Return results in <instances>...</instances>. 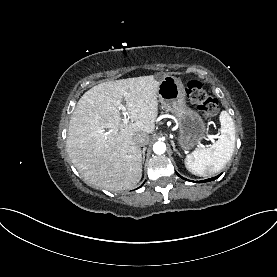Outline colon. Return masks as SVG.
Listing matches in <instances>:
<instances>
[{
	"mask_svg": "<svg viewBox=\"0 0 277 277\" xmlns=\"http://www.w3.org/2000/svg\"><path fill=\"white\" fill-rule=\"evenodd\" d=\"M186 94L188 99L203 112L206 119L217 114L218 102L207 93L201 82L197 80L189 81L186 86Z\"/></svg>",
	"mask_w": 277,
	"mask_h": 277,
	"instance_id": "colon-1",
	"label": "colon"
}]
</instances>
